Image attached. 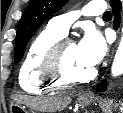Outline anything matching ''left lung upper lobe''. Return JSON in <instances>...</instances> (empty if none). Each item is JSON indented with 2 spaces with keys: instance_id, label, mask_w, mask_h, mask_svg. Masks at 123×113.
Here are the masks:
<instances>
[{
  "instance_id": "1",
  "label": "left lung upper lobe",
  "mask_w": 123,
  "mask_h": 113,
  "mask_svg": "<svg viewBox=\"0 0 123 113\" xmlns=\"http://www.w3.org/2000/svg\"><path fill=\"white\" fill-rule=\"evenodd\" d=\"M67 2L68 0H32L29 3L18 25L15 42V62H19L23 57L26 44L35 30Z\"/></svg>"
}]
</instances>
